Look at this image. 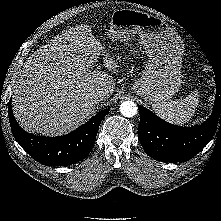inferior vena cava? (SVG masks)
I'll return each instance as SVG.
<instances>
[{
	"mask_svg": "<svg viewBox=\"0 0 221 221\" xmlns=\"http://www.w3.org/2000/svg\"><path fill=\"white\" fill-rule=\"evenodd\" d=\"M107 98V94L104 91H97L92 93L91 99L95 102L98 103L104 99Z\"/></svg>",
	"mask_w": 221,
	"mask_h": 221,
	"instance_id": "602c4592",
	"label": "inferior vena cava"
}]
</instances>
